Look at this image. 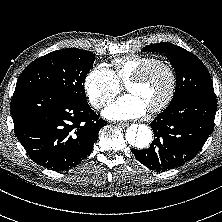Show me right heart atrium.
Instances as JSON below:
<instances>
[{
    "instance_id": "1",
    "label": "right heart atrium",
    "mask_w": 222,
    "mask_h": 222,
    "mask_svg": "<svg viewBox=\"0 0 222 222\" xmlns=\"http://www.w3.org/2000/svg\"><path fill=\"white\" fill-rule=\"evenodd\" d=\"M90 104L97 110L106 107L119 93L120 83L105 64L93 67L84 80Z\"/></svg>"
}]
</instances>
